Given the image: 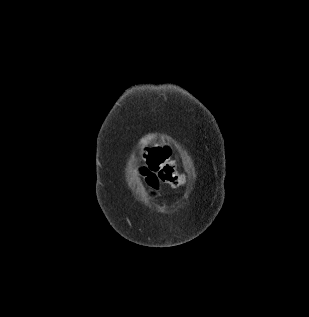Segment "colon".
Wrapping results in <instances>:
<instances>
[{
	"mask_svg": "<svg viewBox=\"0 0 309 317\" xmlns=\"http://www.w3.org/2000/svg\"><path fill=\"white\" fill-rule=\"evenodd\" d=\"M169 156L170 152L167 148L155 149L149 153L147 164L152 173L149 180L151 182L160 180L177 187L184 183V176L170 161Z\"/></svg>",
	"mask_w": 309,
	"mask_h": 317,
	"instance_id": "colon-1",
	"label": "colon"
}]
</instances>
